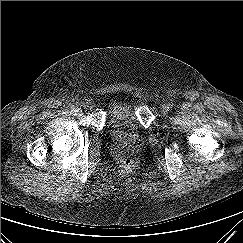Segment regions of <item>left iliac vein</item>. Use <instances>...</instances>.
<instances>
[{
	"mask_svg": "<svg viewBox=\"0 0 243 243\" xmlns=\"http://www.w3.org/2000/svg\"><path fill=\"white\" fill-rule=\"evenodd\" d=\"M161 111L164 115H166L169 111L167 105H162Z\"/></svg>",
	"mask_w": 243,
	"mask_h": 243,
	"instance_id": "1",
	"label": "left iliac vein"
}]
</instances>
